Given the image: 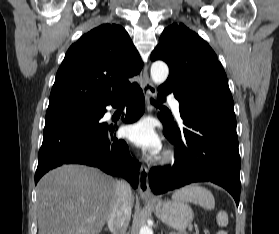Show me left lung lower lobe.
I'll return each mask as SVG.
<instances>
[{
	"label": "left lung lower lobe",
	"instance_id": "obj_1",
	"mask_svg": "<svg viewBox=\"0 0 279 234\" xmlns=\"http://www.w3.org/2000/svg\"><path fill=\"white\" fill-rule=\"evenodd\" d=\"M173 92L180 102L183 123L167 121L164 135L175 146L173 167L153 168L149 172L150 188L155 194L165 193L184 185L210 181L225 188L240 199V156L234 109L228 106L185 99L171 84L158 88V100L163 102Z\"/></svg>",
	"mask_w": 279,
	"mask_h": 234
}]
</instances>
